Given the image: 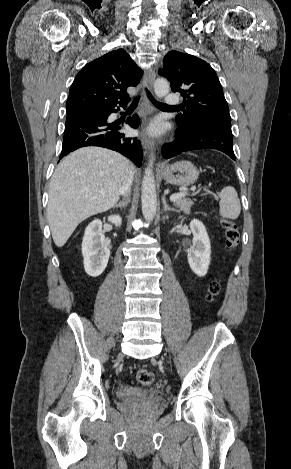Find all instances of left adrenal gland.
<instances>
[{"instance_id":"1","label":"left adrenal gland","mask_w":291,"mask_h":469,"mask_svg":"<svg viewBox=\"0 0 291 469\" xmlns=\"http://www.w3.org/2000/svg\"><path fill=\"white\" fill-rule=\"evenodd\" d=\"M162 202H163V209H164V211H175V212H179V210H177L176 208L170 207V206L167 204L166 199H165V195L162 196Z\"/></svg>"}]
</instances>
